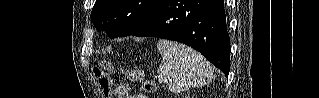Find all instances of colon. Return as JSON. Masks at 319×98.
Returning a JSON list of instances; mask_svg holds the SVG:
<instances>
[{
  "mask_svg": "<svg viewBox=\"0 0 319 98\" xmlns=\"http://www.w3.org/2000/svg\"><path fill=\"white\" fill-rule=\"evenodd\" d=\"M105 65L107 69H111V65L109 63H106ZM94 74L99 82L102 91L106 96H108L111 92L110 79L105 74L104 70L100 67L94 68ZM128 76L133 80H139L142 78V74L138 71L128 73ZM141 90L146 94L153 93L156 90V83L153 80H146L142 83Z\"/></svg>",
  "mask_w": 319,
  "mask_h": 98,
  "instance_id": "colon-1",
  "label": "colon"
}]
</instances>
